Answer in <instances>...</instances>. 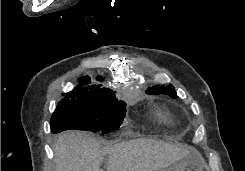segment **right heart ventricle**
Returning a JSON list of instances; mask_svg holds the SVG:
<instances>
[{
	"label": "right heart ventricle",
	"mask_w": 245,
	"mask_h": 171,
	"mask_svg": "<svg viewBox=\"0 0 245 171\" xmlns=\"http://www.w3.org/2000/svg\"><path fill=\"white\" fill-rule=\"evenodd\" d=\"M156 117L161 122H165L166 123V122H170L171 121L170 115L167 112L163 111V110H157L156 111Z\"/></svg>",
	"instance_id": "e07e8e85"
}]
</instances>
